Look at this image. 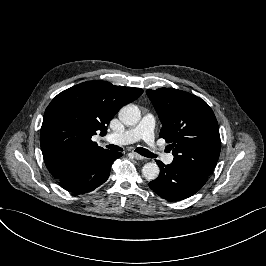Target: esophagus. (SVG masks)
<instances>
[{"instance_id": "34e87169", "label": "esophagus", "mask_w": 266, "mask_h": 266, "mask_svg": "<svg viewBox=\"0 0 266 266\" xmlns=\"http://www.w3.org/2000/svg\"><path fill=\"white\" fill-rule=\"evenodd\" d=\"M133 155H134L135 159H137V160H145V157H143L142 155H140L136 152H133Z\"/></svg>"}]
</instances>
